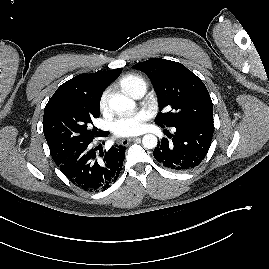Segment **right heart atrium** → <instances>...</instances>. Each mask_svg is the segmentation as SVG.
Instances as JSON below:
<instances>
[{
  "instance_id": "d8ad5b80",
  "label": "right heart atrium",
  "mask_w": 269,
  "mask_h": 269,
  "mask_svg": "<svg viewBox=\"0 0 269 269\" xmlns=\"http://www.w3.org/2000/svg\"><path fill=\"white\" fill-rule=\"evenodd\" d=\"M100 109L104 110L107 106V93H104L100 99L99 103Z\"/></svg>"
}]
</instances>
